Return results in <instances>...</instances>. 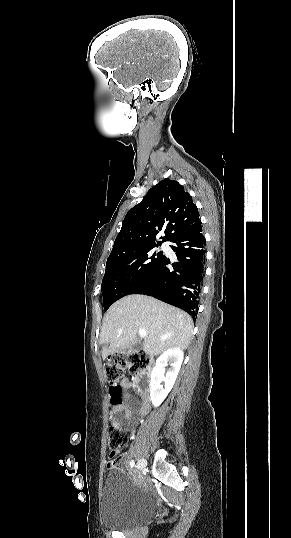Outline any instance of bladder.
<instances>
[{"label": "bladder", "instance_id": "31cf9c89", "mask_svg": "<svg viewBox=\"0 0 291 538\" xmlns=\"http://www.w3.org/2000/svg\"><path fill=\"white\" fill-rule=\"evenodd\" d=\"M155 502L124 470L108 472L101 493V520L105 527L128 530L147 522L153 515Z\"/></svg>", "mask_w": 291, "mask_h": 538}]
</instances>
